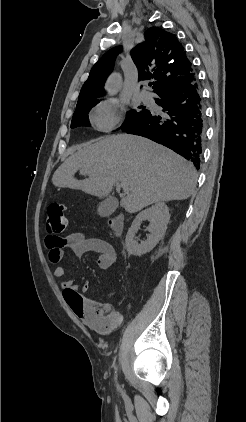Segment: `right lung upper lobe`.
<instances>
[{"mask_svg": "<svg viewBox=\"0 0 246 422\" xmlns=\"http://www.w3.org/2000/svg\"><path fill=\"white\" fill-rule=\"evenodd\" d=\"M144 36L145 42L131 51L138 69V80L155 79L156 94L196 80L191 62L175 34L153 27ZM119 49H110L95 63L81 88L76 107L99 100L97 97L103 92L104 82L113 69Z\"/></svg>", "mask_w": 246, "mask_h": 422, "instance_id": "right-lung-upper-lobe-1", "label": "right lung upper lobe"}]
</instances>
